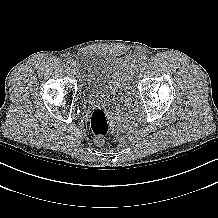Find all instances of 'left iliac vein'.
<instances>
[{
  "instance_id": "1",
  "label": "left iliac vein",
  "mask_w": 218,
  "mask_h": 218,
  "mask_svg": "<svg viewBox=\"0 0 218 218\" xmlns=\"http://www.w3.org/2000/svg\"><path fill=\"white\" fill-rule=\"evenodd\" d=\"M142 65L139 63L138 65H135L134 67L131 68V71L134 73L138 72V69H141Z\"/></svg>"
}]
</instances>
